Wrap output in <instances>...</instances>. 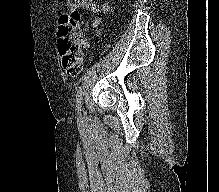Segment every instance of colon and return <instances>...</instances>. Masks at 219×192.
I'll use <instances>...</instances> for the list:
<instances>
[{
  "label": "colon",
  "mask_w": 219,
  "mask_h": 192,
  "mask_svg": "<svg viewBox=\"0 0 219 192\" xmlns=\"http://www.w3.org/2000/svg\"><path fill=\"white\" fill-rule=\"evenodd\" d=\"M83 18L75 10L60 18L57 30L58 52L64 71L70 77L77 76L83 67L81 33Z\"/></svg>",
  "instance_id": "obj_1"
}]
</instances>
